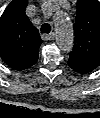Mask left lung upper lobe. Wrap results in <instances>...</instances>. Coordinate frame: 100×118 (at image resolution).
I'll use <instances>...</instances> for the list:
<instances>
[{
    "label": "left lung upper lobe",
    "instance_id": "obj_1",
    "mask_svg": "<svg viewBox=\"0 0 100 118\" xmlns=\"http://www.w3.org/2000/svg\"><path fill=\"white\" fill-rule=\"evenodd\" d=\"M75 44L68 65L88 73L100 65V2L77 0Z\"/></svg>",
    "mask_w": 100,
    "mask_h": 118
}]
</instances>
